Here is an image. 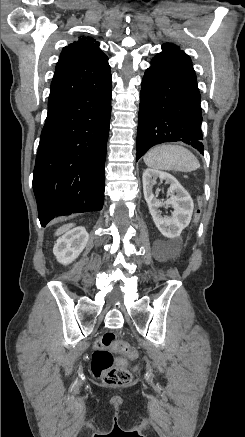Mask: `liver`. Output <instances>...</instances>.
I'll list each match as a JSON object with an SVG mask.
<instances>
[{
  "label": "liver",
  "mask_w": 245,
  "mask_h": 437,
  "mask_svg": "<svg viewBox=\"0 0 245 437\" xmlns=\"http://www.w3.org/2000/svg\"><path fill=\"white\" fill-rule=\"evenodd\" d=\"M72 226H73V224H68V225L62 226L61 228H59V229L56 231L55 235H60V234H62V233H64V232H66V231L69 230Z\"/></svg>",
  "instance_id": "liver-1"
}]
</instances>
